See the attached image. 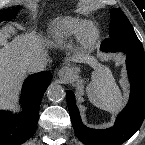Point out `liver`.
I'll return each mask as SVG.
<instances>
[{
  "label": "liver",
  "mask_w": 145,
  "mask_h": 145,
  "mask_svg": "<svg viewBox=\"0 0 145 145\" xmlns=\"http://www.w3.org/2000/svg\"><path fill=\"white\" fill-rule=\"evenodd\" d=\"M41 38L35 33L16 36L0 49V109H8L16 101L17 90L26 76L25 65L45 55ZM74 61H84L96 68V77L105 69L100 68L89 56H76Z\"/></svg>",
  "instance_id": "1"
}]
</instances>
